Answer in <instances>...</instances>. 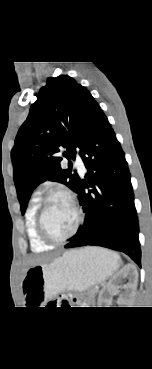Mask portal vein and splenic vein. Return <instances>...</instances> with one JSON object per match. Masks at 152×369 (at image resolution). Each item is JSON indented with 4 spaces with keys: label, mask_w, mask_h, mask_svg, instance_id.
<instances>
[{
    "label": "portal vein and splenic vein",
    "mask_w": 152,
    "mask_h": 369,
    "mask_svg": "<svg viewBox=\"0 0 152 369\" xmlns=\"http://www.w3.org/2000/svg\"><path fill=\"white\" fill-rule=\"evenodd\" d=\"M95 289H96V290H98V289H99V287H98V286H96V287H95Z\"/></svg>",
    "instance_id": "1"
}]
</instances>
